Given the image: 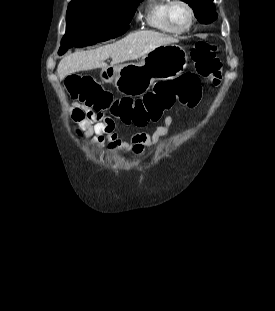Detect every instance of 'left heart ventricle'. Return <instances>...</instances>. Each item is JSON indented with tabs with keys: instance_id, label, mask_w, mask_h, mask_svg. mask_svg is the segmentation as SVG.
<instances>
[{
	"instance_id": "obj_1",
	"label": "left heart ventricle",
	"mask_w": 275,
	"mask_h": 311,
	"mask_svg": "<svg viewBox=\"0 0 275 311\" xmlns=\"http://www.w3.org/2000/svg\"><path fill=\"white\" fill-rule=\"evenodd\" d=\"M171 18L175 26L184 27L189 21V12L182 4H176L171 9Z\"/></svg>"
}]
</instances>
